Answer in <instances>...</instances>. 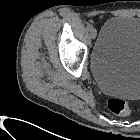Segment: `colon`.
<instances>
[{"label":"colon","mask_w":140,"mask_h":140,"mask_svg":"<svg viewBox=\"0 0 140 140\" xmlns=\"http://www.w3.org/2000/svg\"><path fill=\"white\" fill-rule=\"evenodd\" d=\"M108 108L113 113L121 116H127L131 113V108L128 102L117 97H112L108 100Z\"/></svg>","instance_id":"1"}]
</instances>
